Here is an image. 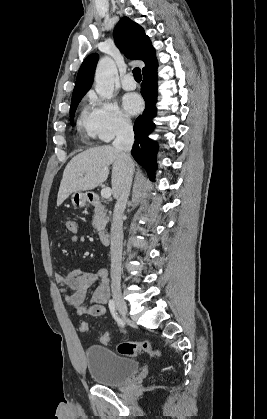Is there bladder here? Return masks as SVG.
Returning a JSON list of instances; mask_svg holds the SVG:
<instances>
[{
    "label": "bladder",
    "mask_w": 267,
    "mask_h": 419,
    "mask_svg": "<svg viewBox=\"0 0 267 419\" xmlns=\"http://www.w3.org/2000/svg\"><path fill=\"white\" fill-rule=\"evenodd\" d=\"M86 368L90 377L99 385L118 386L139 369L134 359L116 354L102 345H91L85 349Z\"/></svg>",
    "instance_id": "31cf9c89"
}]
</instances>
